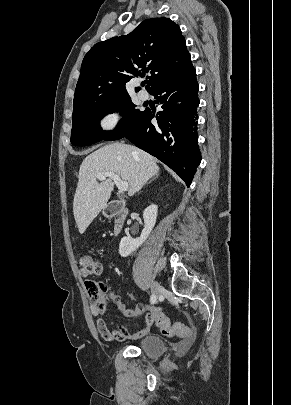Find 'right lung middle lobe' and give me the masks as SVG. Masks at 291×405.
I'll list each match as a JSON object with an SVG mask.
<instances>
[{
    "label": "right lung middle lobe",
    "instance_id": "right-lung-middle-lobe-1",
    "mask_svg": "<svg viewBox=\"0 0 291 405\" xmlns=\"http://www.w3.org/2000/svg\"><path fill=\"white\" fill-rule=\"evenodd\" d=\"M115 111L124 112L123 119L113 131H103L100 120ZM144 111L135 109L129 96L85 107L72 115L71 143L88 146L101 140H118L130 132L143 116Z\"/></svg>",
    "mask_w": 291,
    "mask_h": 405
}]
</instances>
